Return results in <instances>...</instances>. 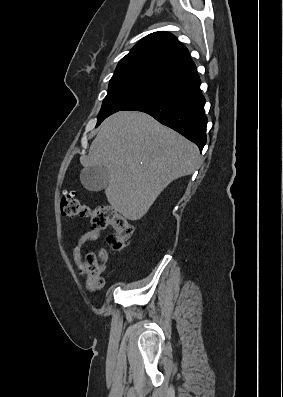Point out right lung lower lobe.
Segmentation results:
<instances>
[{
  "mask_svg": "<svg viewBox=\"0 0 283 397\" xmlns=\"http://www.w3.org/2000/svg\"><path fill=\"white\" fill-rule=\"evenodd\" d=\"M196 73L170 82L122 110L145 112L194 142L202 151L206 144L205 97Z\"/></svg>",
  "mask_w": 283,
  "mask_h": 397,
  "instance_id": "1",
  "label": "right lung lower lobe"
}]
</instances>
